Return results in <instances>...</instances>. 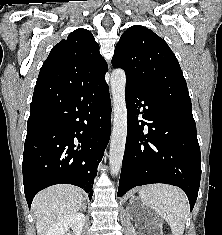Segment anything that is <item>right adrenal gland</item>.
<instances>
[{
	"label": "right adrenal gland",
	"mask_w": 222,
	"mask_h": 235,
	"mask_svg": "<svg viewBox=\"0 0 222 235\" xmlns=\"http://www.w3.org/2000/svg\"><path fill=\"white\" fill-rule=\"evenodd\" d=\"M82 209H83L84 211H86V202H85V201L83 202Z\"/></svg>",
	"instance_id": "1"
}]
</instances>
